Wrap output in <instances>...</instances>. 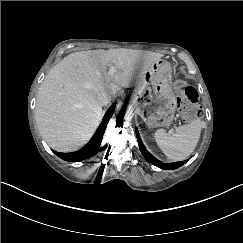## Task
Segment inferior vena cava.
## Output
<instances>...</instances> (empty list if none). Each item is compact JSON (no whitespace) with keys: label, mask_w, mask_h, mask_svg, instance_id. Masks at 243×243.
I'll return each mask as SVG.
<instances>
[{"label":"inferior vena cava","mask_w":243,"mask_h":243,"mask_svg":"<svg viewBox=\"0 0 243 243\" xmlns=\"http://www.w3.org/2000/svg\"><path fill=\"white\" fill-rule=\"evenodd\" d=\"M112 98V94L108 93L107 91H102L97 95V101L101 106L107 105Z\"/></svg>","instance_id":"inferior-vena-cava-1"}]
</instances>
